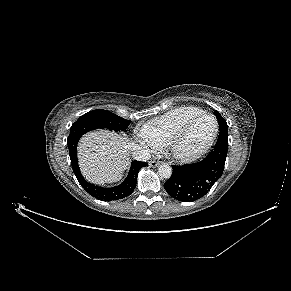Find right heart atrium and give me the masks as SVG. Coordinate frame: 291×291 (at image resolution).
<instances>
[{"instance_id": "d8ad5b80", "label": "right heart atrium", "mask_w": 291, "mask_h": 291, "mask_svg": "<svg viewBox=\"0 0 291 291\" xmlns=\"http://www.w3.org/2000/svg\"><path fill=\"white\" fill-rule=\"evenodd\" d=\"M140 141L146 148H153L151 143L148 140H146L142 135L140 136Z\"/></svg>"}]
</instances>
